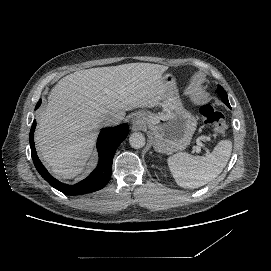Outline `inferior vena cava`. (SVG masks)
<instances>
[{
  "label": "inferior vena cava",
  "instance_id": "1",
  "mask_svg": "<svg viewBox=\"0 0 271 271\" xmlns=\"http://www.w3.org/2000/svg\"><path fill=\"white\" fill-rule=\"evenodd\" d=\"M96 121L103 126H113L120 122V119L111 115H100L96 118Z\"/></svg>",
  "mask_w": 271,
  "mask_h": 271
}]
</instances>
